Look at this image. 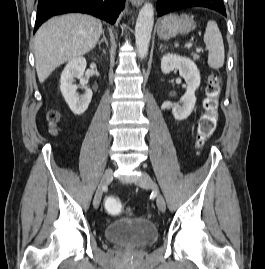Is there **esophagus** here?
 Segmentation results:
<instances>
[{
  "mask_svg": "<svg viewBox=\"0 0 265 269\" xmlns=\"http://www.w3.org/2000/svg\"><path fill=\"white\" fill-rule=\"evenodd\" d=\"M131 4L135 7H139L142 5L143 0H130Z\"/></svg>",
  "mask_w": 265,
  "mask_h": 269,
  "instance_id": "esophagus-1",
  "label": "esophagus"
}]
</instances>
